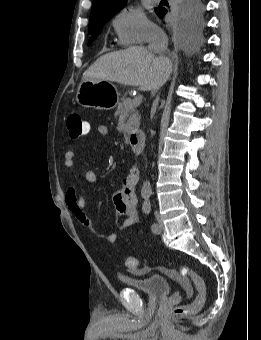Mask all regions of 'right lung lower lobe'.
<instances>
[{"label": "right lung lower lobe", "instance_id": "1", "mask_svg": "<svg viewBox=\"0 0 261 340\" xmlns=\"http://www.w3.org/2000/svg\"><path fill=\"white\" fill-rule=\"evenodd\" d=\"M183 1H185V0H180V3L183 2ZM201 3H202V1H201ZM203 9H204V7H203ZM156 13L158 14V16L160 18H162L167 13V9L166 8H159V9L156 10Z\"/></svg>", "mask_w": 261, "mask_h": 340}]
</instances>
